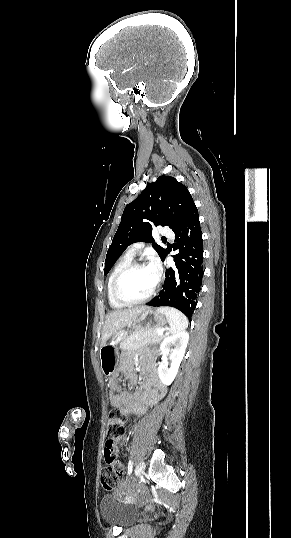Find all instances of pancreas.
Listing matches in <instances>:
<instances>
[{"label": "pancreas", "instance_id": "obj_1", "mask_svg": "<svg viewBox=\"0 0 291 538\" xmlns=\"http://www.w3.org/2000/svg\"><path fill=\"white\" fill-rule=\"evenodd\" d=\"M166 335L158 334L157 330H140L130 334L120 343L122 350H137L147 344H159Z\"/></svg>", "mask_w": 291, "mask_h": 538}]
</instances>
